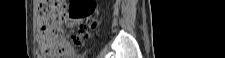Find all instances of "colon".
<instances>
[{
    "mask_svg": "<svg viewBox=\"0 0 225 58\" xmlns=\"http://www.w3.org/2000/svg\"><path fill=\"white\" fill-rule=\"evenodd\" d=\"M36 40L39 44L38 58H65L64 32L62 25L68 18L79 20L87 18L81 25L79 34L72 37L74 43H79L94 31L98 22L92 14L96 12L92 0H38L36 1Z\"/></svg>",
    "mask_w": 225,
    "mask_h": 58,
    "instance_id": "obj_1",
    "label": "colon"
}]
</instances>
